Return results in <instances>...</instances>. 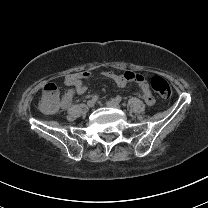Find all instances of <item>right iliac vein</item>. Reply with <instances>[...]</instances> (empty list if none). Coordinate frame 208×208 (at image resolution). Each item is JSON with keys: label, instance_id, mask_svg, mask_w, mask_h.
<instances>
[{"label": "right iliac vein", "instance_id": "1", "mask_svg": "<svg viewBox=\"0 0 208 208\" xmlns=\"http://www.w3.org/2000/svg\"><path fill=\"white\" fill-rule=\"evenodd\" d=\"M94 105H95V101H93V100H89V101L87 102V106H88L89 108L94 107Z\"/></svg>", "mask_w": 208, "mask_h": 208}]
</instances>
